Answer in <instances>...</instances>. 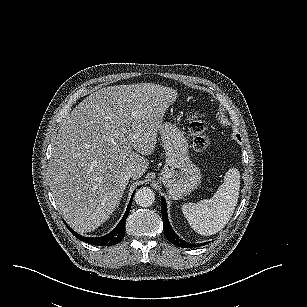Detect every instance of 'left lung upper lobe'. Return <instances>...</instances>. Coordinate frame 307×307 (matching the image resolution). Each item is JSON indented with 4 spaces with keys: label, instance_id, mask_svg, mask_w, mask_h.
<instances>
[{
    "label": "left lung upper lobe",
    "instance_id": "obj_1",
    "mask_svg": "<svg viewBox=\"0 0 307 307\" xmlns=\"http://www.w3.org/2000/svg\"><path fill=\"white\" fill-rule=\"evenodd\" d=\"M237 137L240 139V136H239V135H237Z\"/></svg>",
    "mask_w": 307,
    "mask_h": 307
}]
</instances>
